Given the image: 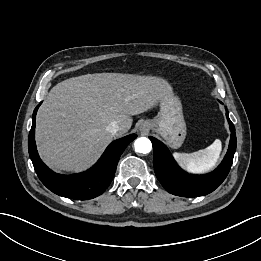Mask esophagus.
<instances>
[{
  "mask_svg": "<svg viewBox=\"0 0 261 261\" xmlns=\"http://www.w3.org/2000/svg\"><path fill=\"white\" fill-rule=\"evenodd\" d=\"M140 131H142V132H146V131H148V128L145 127V126H141V127H140Z\"/></svg>",
  "mask_w": 261,
  "mask_h": 261,
  "instance_id": "obj_1",
  "label": "esophagus"
}]
</instances>
